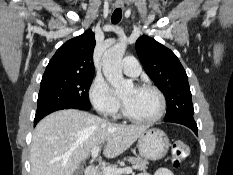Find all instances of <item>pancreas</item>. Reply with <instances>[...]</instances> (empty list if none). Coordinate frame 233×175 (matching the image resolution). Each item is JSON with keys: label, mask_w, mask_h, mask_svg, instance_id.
<instances>
[{"label": "pancreas", "mask_w": 233, "mask_h": 175, "mask_svg": "<svg viewBox=\"0 0 233 175\" xmlns=\"http://www.w3.org/2000/svg\"><path fill=\"white\" fill-rule=\"evenodd\" d=\"M124 161H128L131 164H133V168L137 170H145L147 169L148 161L146 159H143L141 157H129L124 158ZM112 168L117 169V165H112ZM100 175H104L103 172L100 173Z\"/></svg>", "instance_id": "obj_1"}]
</instances>
